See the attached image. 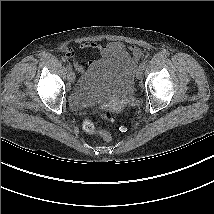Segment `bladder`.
<instances>
[{
    "label": "bladder",
    "mask_w": 214,
    "mask_h": 214,
    "mask_svg": "<svg viewBox=\"0 0 214 214\" xmlns=\"http://www.w3.org/2000/svg\"><path fill=\"white\" fill-rule=\"evenodd\" d=\"M131 69L120 56L111 55L84 74L70 92V103L80 109L90 103H109L134 90Z\"/></svg>",
    "instance_id": "obj_1"
}]
</instances>
